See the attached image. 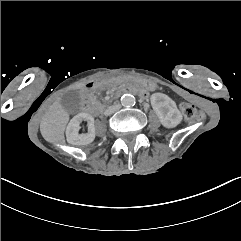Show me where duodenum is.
I'll return each mask as SVG.
<instances>
[{
	"mask_svg": "<svg viewBox=\"0 0 241 241\" xmlns=\"http://www.w3.org/2000/svg\"><path fill=\"white\" fill-rule=\"evenodd\" d=\"M101 85H102L101 81H93V82H90L89 84H87L82 91L83 108L86 111H89L94 115L99 114V109L94 105L93 100H92V95ZM126 93L135 94L141 98H144L147 96V91H145L144 89H141L136 86H126V87H123V88L115 91L112 95V98L117 99Z\"/></svg>",
	"mask_w": 241,
	"mask_h": 241,
	"instance_id": "duodenum-1",
	"label": "duodenum"
}]
</instances>
